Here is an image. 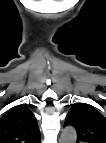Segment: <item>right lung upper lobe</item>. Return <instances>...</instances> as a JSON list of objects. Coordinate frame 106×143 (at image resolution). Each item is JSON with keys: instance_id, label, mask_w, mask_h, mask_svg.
<instances>
[{"instance_id": "1", "label": "right lung upper lobe", "mask_w": 106, "mask_h": 143, "mask_svg": "<svg viewBox=\"0 0 106 143\" xmlns=\"http://www.w3.org/2000/svg\"><path fill=\"white\" fill-rule=\"evenodd\" d=\"M40 131L34 114L17 105L0 117V143H39Z\"/></svg>"}]
</instances>
